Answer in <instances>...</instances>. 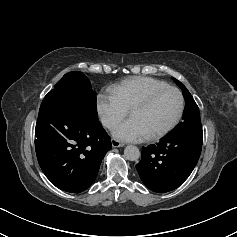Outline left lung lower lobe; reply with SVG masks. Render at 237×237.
<instances>
[{"instance_id": "left-lung-lower-lobe-1", "label": "left lung lower lobe", "mask_w": 237, "mask_h": 237, "mask_svg": "<svg viewBox=\"0 0 237 237\" xmlns=\"http://www.w3.org/2000/svg\"><path fill=\"white\" fill-rule=\"evenodd\" d=\"M202 142V133H186L166 136L156 145L142 148L136 169L143 183L159 193L179 187L196 166Z\"/></svg>"}]
</instances>
